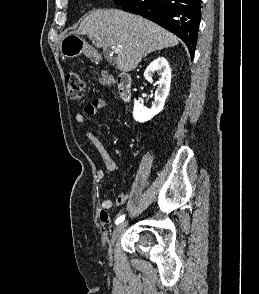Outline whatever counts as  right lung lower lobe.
Masks as SVG:
<instances>
[{
	"mask_svg": "<svg viewBox=\"0 0 259 294\" xmlns=\"http://www.w3.org/2000/svg\"><path fill=\"white\" fill-rule=\"evenodd\" d=\"M201 0H127L120 7L141 15L177 35L187 45L191 58L200 23Z\"/></svg>",
	"mask_w": 259,
	"mask_h": 294,
	"instance_id": "right-lung-lower-lobe-1",
	"label": "right lung lower lobe"
}]
</instances>
